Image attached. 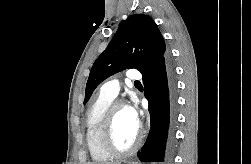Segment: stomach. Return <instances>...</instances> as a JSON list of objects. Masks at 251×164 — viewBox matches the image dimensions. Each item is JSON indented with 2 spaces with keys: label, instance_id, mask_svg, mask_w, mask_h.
I'll use <instances>...</instances> for the list:
<instances>
[{
  "label": "stomach",
  "instance_id": "stomach-1",
  "mask_svg": "<svg viewBox=\"0 0 251 164\" xmlns=\"http://www.w3.org/2000/svg\"><path fill=\"white\" fill-rule=\"evenodd\" d=\"M129 164H137V163H129Z\"/></svg>",
  "mask_w": 251,
  "mask_h": 164
}]
</instances>
